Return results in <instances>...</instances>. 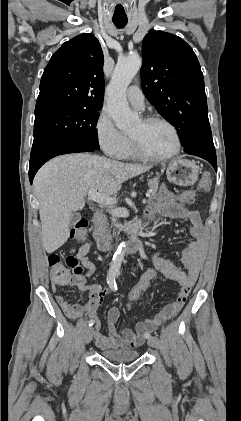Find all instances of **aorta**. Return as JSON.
<instances>
[{
	"label": "aorta",
	"mask_w": 241,
	"mask_h": 421,
	"mask_svg": "<svg viewBox=\"0 0 241 421\" xmlns=\"http://www.w3.org/2000/svg\"><path fill=\"white\" fill-rule=\"evenodd\" d=\"M142 65V59L138 55L129 56L117 62L111 81L107 88L108 111L119 129L126 130L138 121V115L131 112L127 99L126 90L133 77ZM126 251V245L120 244L115 252L112 265L116 268L121 266Z\"/></svg>",
	"instance_id": "762f6f07"
}]
</instances>
